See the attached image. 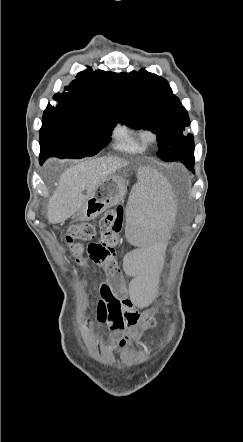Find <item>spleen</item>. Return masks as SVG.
I'll use <instances>...</instances> for the list:
<instances>
[{"mask_svg": "<svg viewBox=\"0 0 243 442\" xmlns=\"http://www.w3.org/2000/svg\"><path fill=\"white\" fill-rule=\"evenodd\" d=\"M174 186L169 178H161L152 166L146 163L138 170V183H133L131 193L126 194L125 237L134 242L140 254H130L126 259L128 274H134L135 282L128 287V296H133L135 307H150L156 301L161 286V274L165 258H168L167 242H172L168 226H178V217H173L176 200L170 193Z\"/></svg>", "mask_w": 243, "mask_h": 442, "instance_id": "1", "label": "spleen"}]
</instances>
